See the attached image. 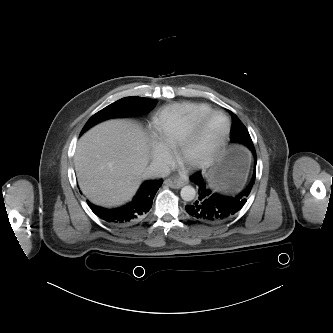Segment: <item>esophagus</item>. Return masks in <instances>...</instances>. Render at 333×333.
Segmentation results:
<instances>
[{
	"label": "esophagus",
	"mask_w": 333,
	"mask_h": 333,
	"mask_svg": "<svg viewBox=\"0 0 333 333\" xmlns=\"http://www.w3.org/2000/svg\"><path fill=\"white\" fill-rule=\"evenodd\" d=\"M167 186L178 189L185 185L187 182L181 178H169L164 182Z\"/></svg>",
	"instance_id": "1"
}]
</instances>
